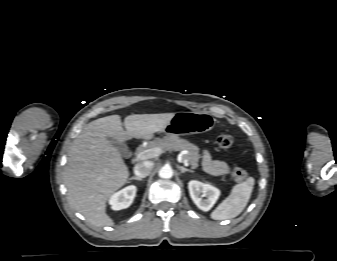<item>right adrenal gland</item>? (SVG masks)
<instances>
[{
	"label": "right adrenal gland",
	"mask_w": 337,
	"mask_h": 261,
	"mask_svg": "<svg viewBox=\"0 0 337 261\" xmlns=\"http://www.w3.org/2000/svg\"><path fill=\"white\" fill-rule=\"evenodd\" d=\"M130 180H138V181H142L143 178L137 177V176H133V177L130 178Z\"/></svg>",
	"instance_id": "obj_1"
}]
</instances>
